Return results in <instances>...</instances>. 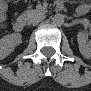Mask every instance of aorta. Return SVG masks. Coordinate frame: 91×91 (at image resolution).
<instances>
[{
  "mask_svg": "<svg viewBox=\"0 0 91 91\" xmlns=\"http://www.w3.org/2000/svg\"><path fill=\"white\" fill-rule=\"evenodd\" d=\"M53 24L56 26H62L64 24V16L62 14H56L54 15Z\"/></svg>",
  "mask_w": 91,
  "mask_h": 91,
  "instance_id": "762f6f07",
  "label": "aorta"
}]
</instances>
